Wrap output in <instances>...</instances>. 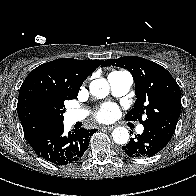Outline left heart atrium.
<instances>
[{
    "label": "left heart atrium",
    "instance_id": "1",
    "mask_svg": "<svg viewBox=\"0 0 196 196\" xmlns=\"http://www.w3.org/2000/svg\"><path fill=\"white\" fill-rule=\"evenodd\" d=\"M118 114V108L114 104H105L97 112L96 118L101 122H108Z\"/></svg>",
    "mask_w": 196,
    "mask_h": 196
}]
</instances>
